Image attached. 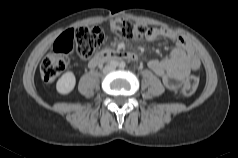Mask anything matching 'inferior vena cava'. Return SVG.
<instances>
[{"label": "inferior vena cava", "mask_w": 238, "mask_h": 158, "mask_svg": "<svg viewBox=\"0 0 238 158\" xmlns=\"http://www.w3.org/2000/svg\"><path fill=\"white\" fill-rule=\"evenodd\" d=\"M115 67L112 66V65H107L105 68H104V72H109L111 70H113Z\"/></svg>", "instance_id": "602c4592"}]
</instances>
